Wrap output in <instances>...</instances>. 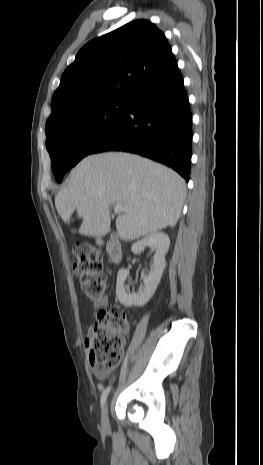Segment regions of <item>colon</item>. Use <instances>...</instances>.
I'll return each mask as SVG.
<instances>
[{
    "instance_id": "colon-1",
    "label": "colon",
    "mask_w": 263,
    "mask_h": 465,
    "mask_svg": "<svg viewBox=\"0 0 263 465\" xmlns=\"http://www.w3.org/2000/svg\"><path fill=\"white\" fill-rule=\"evenodd\" d=\"M74 254L73 269L80 278L82 290L92 300L102 298L106 277L100 252L89 244H79L74 248ZM127 330V319L119 306L110 305L97 313L86 339L89 360L95 371L107 372L120 363Z\"/></svg>"
}]
</instances>
